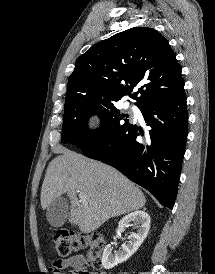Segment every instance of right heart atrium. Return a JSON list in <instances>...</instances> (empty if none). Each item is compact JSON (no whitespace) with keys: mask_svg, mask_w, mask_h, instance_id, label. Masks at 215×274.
Instances as JSON below:
<instances>
[{"mask_svg":"<svg viewBox=\"0 0 215 274\" xmlns=\"http://www.w3.org/2000/svg\"><path fill=\"white\" fill-rule=\"evenodd\" d=\"M97 126H98V119L94 117L90 121V128L91 129H96Z\"/></svg>","mask_w":215,"mask_h":274,"instance_id":"d8ad5b80","label":"right heart atrium"}]
</instances>
